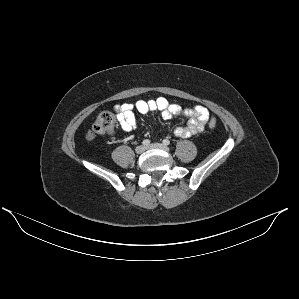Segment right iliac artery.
Segmentation results:
<instances>
[{
	"mask_svg": "<svg viewBox=\"0 0 299 299\" xmlns=\"http://www.w3.org/2000/svg\"><path fill=\"white\" fill-rule=\"evenodd\" d=\"M142 144H143L144 146H148V145L150 144V140L145 139V140L142 142Z\"/></svg>",
	"mask_w": 299,
	"mask_h": 299,
	"instance_id": "right-iliac-artery-1",
	"label": "right iliac artery"
}]
</instances>
